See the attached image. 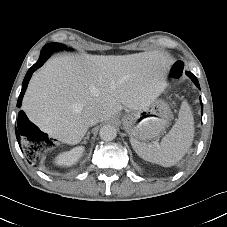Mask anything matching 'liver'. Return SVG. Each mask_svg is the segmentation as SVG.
<instances>
[{
	"label": "liver",
	"mask_w": 227,
	"mask_h": 227,
	"mask_svg": "<svg viewBox=\"0 0 227 227\" xmlns=\"http://www.w3.org/2000/svg\"><path fill=\"white\" fill-rule=\"evenodd\" d=\"M168 72L167 57L157 51L58 56L33 75L22 108L49 137L75 145L88 130V112L102 122L123 107L143 110L166 89Z\"/></svg>",
	"instance_id": "obj_1"
}]
</instances>
